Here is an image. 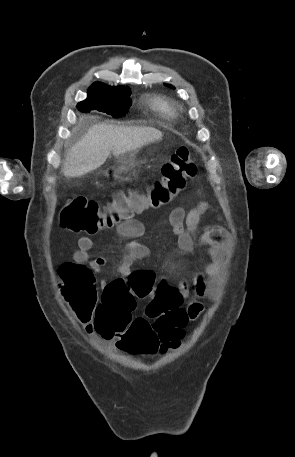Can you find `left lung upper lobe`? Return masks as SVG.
Here are the masks:
<instances>
[{
	"label": "left lung upper lobe",
	"mask_w": 295,
	"mask_h": 457,
	"mask_svg": "<svg viewBox=\"0 0 295 457\" xmlns=\"http://www.w3.org/2000/svg\"><path fill=\"white\" fill-rule=\"evenodd\" d=\"M166 86L174 88L173 86H171V85H168V84H166Z\"/></svg>",
	"instance_id": "obj_1"
}]
</instances>
